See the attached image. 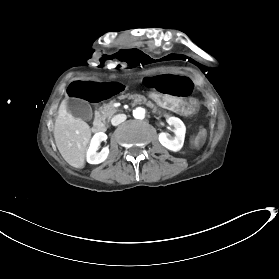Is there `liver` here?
Returning a JSON list of instances; mask_svg holds the SVG:
<instances>
[{
    "label": "liver",
    "mask_w": 279,
    "mask_h": 279,
    "mask_svg": "<svg viewBox=\"0 0 279 279\" xmlns=\"http://www.w3.org/2000/svg\"><path fill=\"white\" fill-rule=\"evenodd\" d=\"M53 136L63 159L75 168H82L91 129L85 121L73 117L67 110V96L61 101L55 117Z\"/></svg>",
    "instance_id": "liver-1"
}]
</instances>
